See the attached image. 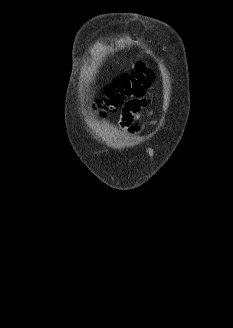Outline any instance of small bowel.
<instances>
[{"mask_svg":"<svg viewBox=\"0 0 233 328\" xmlns=\"http://www.w3.org/2000/svg\"><path fill=\"white\" fill-rule=\"evenodd\" d=\"M151 101L148 98H137L128 101L121 112L118 126L130 134L139 133L141 127L136 123L144 114L150 115L146 109L150 106Z\"/></svg>","mask_w":233,"mask_h":328,"instance_id":"c3829d8e","label":"small bowel"}]
</instances>
